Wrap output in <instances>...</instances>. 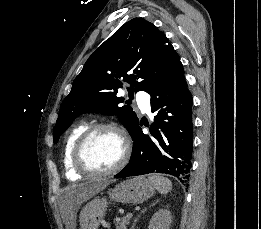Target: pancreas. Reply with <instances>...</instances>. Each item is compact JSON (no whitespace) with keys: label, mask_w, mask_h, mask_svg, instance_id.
I'll return each mask as SVG.
<instances>
[{"label":"pancreas","mask_w":261,"mask_h":229,"mask_svg":"<svg viewBox=\"0 0 261 229\" xmlns=\"http://www.w3.org/2000/svg\"><path fill=\"white\" fill-rule=\"evenodd\" d=\"M131 217H122L120 221H116L115 227L116 229H127V225L130 223Z\"/></svg>","instance_id":"pancreas-1"}]
</instances>
